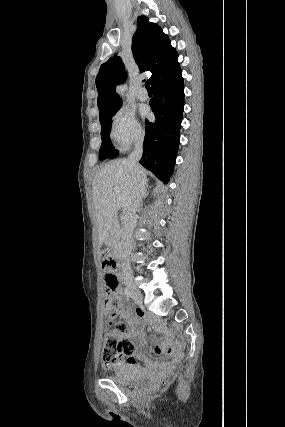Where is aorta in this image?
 <instances>
[{
    "mask_svg": "<svg viewBox=\"0 0 285 427\" xmlns=\"http://www.w3.org/2000/svg\"><path fill=\"white\" fill-rule=\"evenodd\" d=\"M124 92H125V87H124L123 85H119V86L117 87V93H118L119 95H123V94H124Z\"/></svg>",
    "mask_w": 285,
    "mask_h": 427,
    "instance_id": "1",
    "label": "aorta"
}]
</instances>
